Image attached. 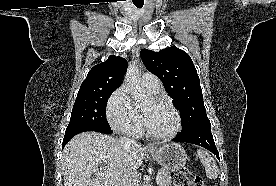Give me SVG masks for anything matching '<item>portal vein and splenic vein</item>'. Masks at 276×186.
<instances>
[{
	"label": "portal vein and splenic vein",
	"instance_id": "portal-vein-and-splenic-vein-1",
	"mask_svg": "<svg viewBox=\"0 0 276 186\" xmlns=\"http://www.w3.org/2000/svg\"><path fill=\"white\" fill-rule=\"evenodd\" d=\"M161 178H162L161 175L157 174V176H156V182L159 183V181L161 180Z\"/></svg>",
	"mask_w": 276,
	"mask_h": 186
}]
</instances>
